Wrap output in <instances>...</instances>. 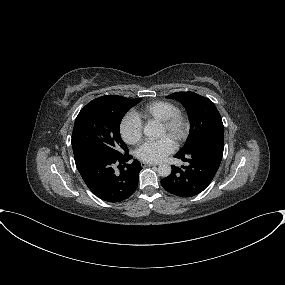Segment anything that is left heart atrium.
I'll return each mask as SVG.
<instances>
[{
  "instance_id": "39dd6f15",
  "label": "left heart atrium",
  "mask_w": 285,
  "mask_h": 285,
  "mask_svg": "<svg viewBox=\"0 0 285 285\" xmlns=\"http://www.w3.org/2000/svg\"><path fill=\"white\" fill-rule=\"evenodd\" d=\"M175 143L169 136L156 141H147L136 151V157L146 163H158L175 150Z\"/></svg>"
}]
</instances>
